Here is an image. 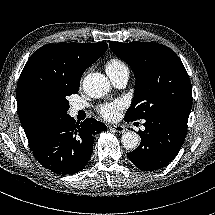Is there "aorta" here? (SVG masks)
Returning <instances> with one entry per match:
<instances>
[{
    "label": "aorta",
    "mask_w": 215,
    "mask_h": 215,
    "mask_svg": "<svg viewBox=\"0 0 215 215\" xmlns=\"http://www.w3.org/2000/svg\"><path fill=\"white\" fill-rule=\"evenodd\" d=\"M109 81L106 76L100 73L87 75L82 82V89L91 98L103 97L109 89ZM121 143L128 150L136 149L140 144V137L133 131H126L121 136Z\"/></svg>",
    "instance_id": "1"
}]
</instances>
